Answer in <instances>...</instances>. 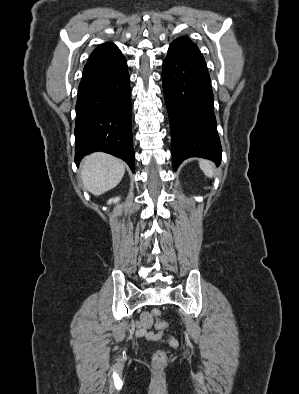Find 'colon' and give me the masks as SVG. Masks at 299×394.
Wrapping results in <instances>:
<instances>
[{"label": "colon", "mask_w": 299, "mask_h": 394, "mask_svg": "<svg viewBox=\"0 0 299 394\" xmlns=\"http://www.w3.org/2000/svg\"><path fill=\"white\" fill-rule=\"evenodd\" d=\"M160 315H161L160 310L154 309L152 311V316L154 318H159ZM157 326L160 329H166L168 327V324L166 322H164V321H159V322H157ZM168 343H169V345L171 347H177L178 346V341L176 339L172 338V337L168 338ZM151 361H152V364L155 365V366L164 365L166 363V361H167V355H166V353L164 351H161V350L156 351V352L153 353Z\"/></svg>", "instance_id": "obj_1"}]
</instances>
